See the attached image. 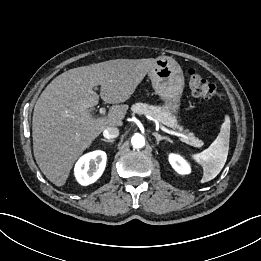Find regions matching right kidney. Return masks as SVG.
<instances>
[{
  "label": "right kidney",
  "mask_w": 261,
  "mask_h": 261,
  "mask_svg": "<svg viewBox=\"0 0 261 261\" xmlns=\"http://www.w3.org/2000/svg\"><path fill=\"white\" fill-rule=\"evenodd\" d=\"M106 160V153L100 150L82 156L74 168L77 181L84 186L94 183L102 175Z\"/></svg>",
  "instance_id": "ca27d5eb"
}]
</instances>
